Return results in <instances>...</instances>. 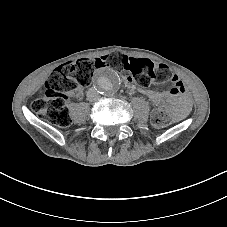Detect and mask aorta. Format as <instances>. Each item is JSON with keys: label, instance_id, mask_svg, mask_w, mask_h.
<instances>
[{"label": "aorta", "instance_id": "obj_1", "mask_svg": "<svg viewBox=\"0 0 227 227\" xmlns=\"http://www.w3.org/2000/svg\"><path fill=\"white\" fill-rule=\"evenodd\" d=\"M95 84L102 94L111 95L119 89L120 78L115 70L103 68L95 76Z\"/></svg>", "mask_w": 227, "mask_h": 227}]
</instances>
